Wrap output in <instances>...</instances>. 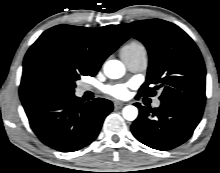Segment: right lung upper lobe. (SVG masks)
Masks as SVG:
<instances>
[{"label":"right lung upper lobe","mask_w":220,"mask_h":173,"mask_svg":"<svg viewBox=\"0 0 220 173\" xmlns=\"http://www.w3.org/2000/svg\"><path fill=\"white\" fill-rule=\"evenodd\" d=\"M128 38L115 25L99 28L57 25L46 30L25 55L21 101L50 94L52 85L66 72L95 76L104 60Z\"/></svg>","instance_id":"right-lung-upper-lobe-1"}]
</instances>
